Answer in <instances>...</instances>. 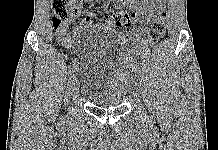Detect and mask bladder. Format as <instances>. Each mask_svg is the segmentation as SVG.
Segmentation results:
<instances>
[{
  "label": "bladder",
  "instance_id": "obj_1",
  "mask_svg": "<svg viewBox=\"0 0 218 150\" xmlns=\"http://www.w3.org/2000/svg\"><path fill=\"white\" fill-rule=\"evenodd\" d=\"M81 55L75 74L81 95L97 107L123 104L135 77L118 43L103 31H93L84 36Z\"/></svg>",
  "mask_w": 218,
  "mask_h": 150
}]
</instances>
